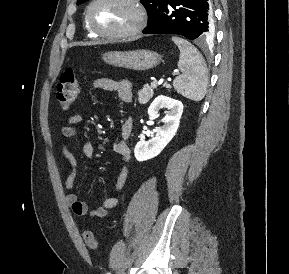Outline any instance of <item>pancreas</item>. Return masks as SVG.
Listing matches in <instances>:
<instances>
[{
	"label": "pancreas",
	"instance_id": "obj_1",
	"mask_svg": "<svg viewBox=\"0 0 289 274\" xmlns=\"http://www.w3.org/2000/svg\"><path fill=\"white\" fill-rule=\"evenodd\" d=\"M164 87L169 88L168 84H164ZM153 87L148 84L144 85L143 88L138 92V101L140 104L147 103L153 97Z\"/></svg>",
	"mask_w": 289,
	"mask_h": 274
}]
</instances>
